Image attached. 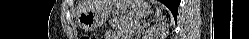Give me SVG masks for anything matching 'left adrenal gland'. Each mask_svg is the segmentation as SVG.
Segmentation results:
<instances>
[{"mask_svg": "<svg viewBox=\"0 0 249 39\" xmlns=\"http://www.w3.org/2000/svg\"><path fill=\"white\" fill-rule=\"evenodd\" d=\"M146 26H147V24H144L143 28L146 27Z\"/></svg>", "mask_w": 249, "mask_h": 39, "instance_id": "a2214340", "label": "left adrenal gland"}]
</instances>
